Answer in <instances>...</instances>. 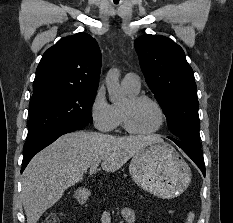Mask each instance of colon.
<instances>
[{
	"label": "colon",
	"instance_id": "colon-1",
	"mask_svg": "<svg viewBox=\"0 0 233 223\" xmlns=\"http://www.w3.org/2000/svg\"><path fill=\"white\" fill-rule=\"evenodd\" d=\"M43 223H59V220L56 216H49L43 221Z\"/></svg>",
	"mask_w": 233,
	"mask_h": 223
}]
</instances>
